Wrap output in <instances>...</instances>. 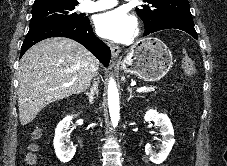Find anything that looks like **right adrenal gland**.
<instances>
[{
  "instance_id": "2a0ac1e0",
  "label": "right adrenal gland",
  "mask_w": 227,
  "mask_h": 166,
  "mask_svg": "<svg viewBox=\"0 0 227 166\" xmlns=\"http://www.w3.org/2000/svg\"><path fill=\"white\" fill-rule=\"evenodd\" d=\"M85 94L89 97V103H94L96 98L95 95H98L97 85L94 83L90 89V92L86 91Z\"/></svg>"
}]
</instances>
